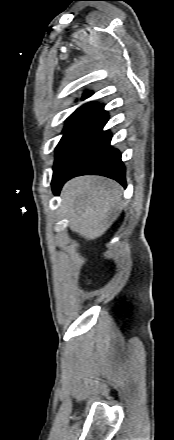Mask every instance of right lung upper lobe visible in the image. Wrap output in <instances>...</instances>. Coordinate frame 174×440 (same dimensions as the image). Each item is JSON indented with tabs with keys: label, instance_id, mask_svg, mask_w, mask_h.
Returning a JSON list of instances; mask_svg holds the SVG:
<instances>
[{
	"label": "right lung upper lobe",
	"instance_id": "right-lung-upper-lobe-1",
	"mask_svg": "<svg viewBox=\"0 0 174 440\" xmlns=\"http://www.w3.org/2000/svg\"><path fill=\"white\" fill-rule=\"evenodd\" d=\"M93 94V92H86L83 94V99L90 97Z\"/></svg>",
	"mask_w": 174,
	"mask_h": 440
}]
</instances>
